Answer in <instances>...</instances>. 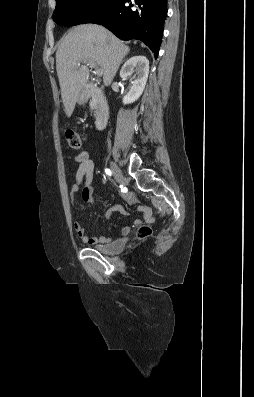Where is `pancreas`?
<instances>
[{"mask_svg":"<svg viewBox=\"0 0 254 397\" xmlns=\"http://www.w3.org/2000/svg\"><path fill=\"white\" fill-rule=\"evenodd\" d=\"M98 101H99V99H98V97L96 95L92 96V99H91V101L89 103L91 111L97 109Z\"/></svg>","mask_w":254,"mask_h":397,"instance_id":"1","label":"pancreas"}]
</instances>
